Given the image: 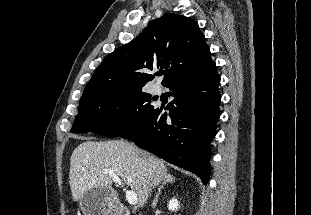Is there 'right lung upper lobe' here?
Listing matches in <instances>:
<instances>
[{
	"label": "right lung upper lobe",
	"mask_w": 311,
	"mask_h": 215,
	"mask_svg": "<svg viewBox=\"0 0 311 215\" xmlns=\"http://www.w3.org/2000/svg\"><path fill=\"white\" fill-rule=\"evenodd\" d=\"M211 61L209 46L198 23L186 16L166 13L103 60L80 102L103 94L142 90L154 78L148 73L153 68L165 69L162 85L166 86Z\"/></svg>",
	"instance_id": "obj_1"
}]
</instances>
